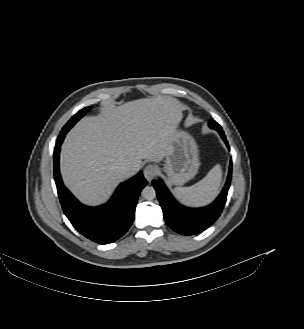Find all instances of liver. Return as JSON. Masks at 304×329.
Returning <instances> with one entry per match:
<instances>
[{"label": "liver", "instance_id": "obj_1", "mask_svg": "<svg viewBox=\"0 0 304 329\" xmlns=\"http://www.w3.org/2000/svg\"><path fill=\"white\" fill-rule=\"evenodd\" d=\"M181 103L169 96L107 106L97 116L82 118L67 134L60 170L65 185L83 203L99 205L143 159L160 162L170 150L182 120ZM133 166L124 176L119 167Z\"/></svg>", "mask_w": 304, "mask_h": 329}]
</instances>
